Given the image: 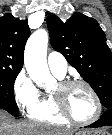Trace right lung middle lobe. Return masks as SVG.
<instances>
[{
    "label": "right lung middle lobe",
    "mask_w": 112,
    "mask_h": 135,
    "mask_svg": "<svg viewBox=\"0 0 112 135\" xmlns=\"http://www.w3.org/2000/svg\"><path fill=\"white\" fill-rule=\"evenodd\" d=\"M20 70H0V108L19 113L14 98V82Z\"/></svg>",
    "instance_id": "obj_1"
}]
</instances>
